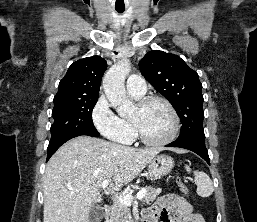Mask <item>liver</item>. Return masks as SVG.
I'll use <instances>...</instances> for the list:
<instances>
[{
    "label": "liver",
    "mask_w": 257,
    "mask_h": 222,
    "mask_svg": "<svg viewBox=\"0 0 257 222\" xmlns=\"http://www.w3.org/2000/svg\"><path fill=\"white\" fill-rule=\"evenodd\" d=\"M162 150L135 149L88 136L69 140L46 165L43 222H89L104 180H110L111 189H121Z\"/></svg>",
    "instance_id": "1"
}]
</instances>
